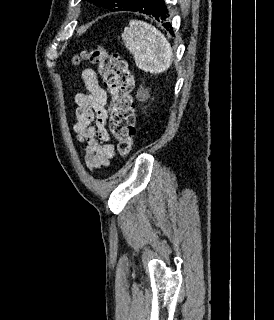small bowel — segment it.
I'll return each instance as SVG.
<instances>
[{
    "label": "small bowel",
    "mask_w": 274,
    "mask_h": 320,
    "mask_svg": "<svg viewBox=\"0 0 274 320\" xmlns=\"http://www.w3.org/2000/svg\"><path fill=\"white\" fill-rule=\"evenodd\" d=\"M81 79L86 91L75 96L76 121L72 129L79 144L86 142L84 161L93 170L108 165L115 155V148L106 129L108 94L101 87L93 69H84Z\"/></svg>",
    "instance_id": "obj_1"
}]
</instances>
